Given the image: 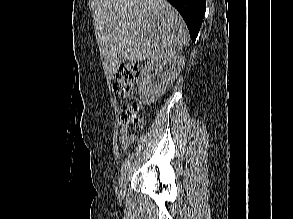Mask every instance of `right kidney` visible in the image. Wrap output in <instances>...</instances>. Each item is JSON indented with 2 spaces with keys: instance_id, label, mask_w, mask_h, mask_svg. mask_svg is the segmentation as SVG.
I'll return each mask as SVG.
<instances>
[{
  "instance_id": "1",
  "label": "right kidney",
  "mask_w": 293,
  "mask_h": 219,
  "mask_svg": "<svg viewBox=\"0 0 293 219\" xmlns=\"http://www.w3.org/2000/svg\"><path fill=\"white\" fill-rule=\"evenodd\" d=\"M184 61V57L176 55L155 58L147 62L139 77L138 89L142 102L146 104L156 102L179 75ZM153 71L155 73H152Z\"/></svg>"
}]
</instances>
